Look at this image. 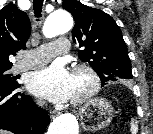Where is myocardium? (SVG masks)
Masks as SVG:
<instances>
[{
	"label": "myocardium",
	"instance_id": "1",
	"mask_svg": "<svg viewBox=\"0 0 153 134\" xmlns=\"http://www.w3.org/2000/svg\"><path fill=\"white\" fill-rule=\"evenodd\" d=\"M72 73H84L89 80V86L81 95L71 98L72 104H81L90 99L99 90L101 79L98 72L89 64L79 63L73 66Z\"/></svg>",
	"mask_w": 153,
	"mask_h": 134
}]
</instances>
